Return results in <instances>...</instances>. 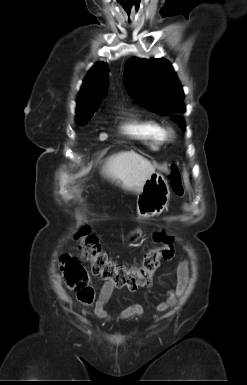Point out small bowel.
Wrapping results in <instances>:
<instances>
[{
  "instance_id": "small-bowel-1",
  "label": "small bowel",
  "mask_w": 247,
  "mask_h": 385,
  "mask_svg": "<svg viewBox=\"0 0 247 385\" xmlns=\"http://www.w3.org/2000/svg\"><path fill=\"white\" fill-rule=\"evenodd\" d=\"M177 284L175 289L168 290L165 294L164 300L156 306L157 312H165L176 307L178 299L182 296L189 279V264L187 261H182L178 264L177 270ZM115 286L106 281L100 289L98 299L94 305L93 312L95 316L102 320H109L110 315L106 310V305L110 300ZM144 312V308L140 304H132L124 308L120 317L122 319H130L140 317Z\"/></svg>"
}]
</instances>
